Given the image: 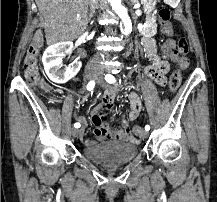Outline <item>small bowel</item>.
<instances>
[{
	"mask_svg": "<svg viewBox=\"0 0 217 202\" xmlns=\"http://www.w3.org/2000/svg\"><path fill=\"white\" fill-rule=\"evenodd\" d=\"M143 46L150 58L155 59V63L146 69V73L156 82L161 83L164 74L168 70V63L166 58L171 55L169 50H166L162 56L158 55V50L155 41L146 37L143 40ZM120 88L117 86L110 87L102 95L101 101L90 109V120L95 126L94 135L96 139H85L84 131L79 133L81 141L86 146H92L99 141H117L130 144H137L140 141L142 131H132L127 120L123 119L121 125L116 129H111L106 123L105 111L113 107L114 99L119 93ZM129 111L127 118L129 121H134L138 118L142 111V104L138 95L134 92L128 95ZM76 119L82 120L81 117L76 116Z\"/></svg>",
	"mask_w": 217,
	"mask_h": 202,
	"instance_id": "1",
	"label": "small bowel"
}]
</instances>
